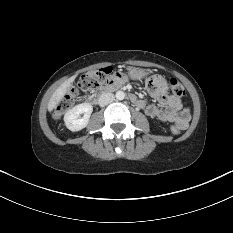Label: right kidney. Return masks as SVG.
Instances as JSON below:
<instances>
[{
	"instance_id": "ca27d5eb",
	"label": "right kidney",
	"mask_w": 233,
	"mask_h": 233,
	"mask_svg": "<svg viewBox=\"0 0 233 233\" xmlns=\"http://www.w3.org/2000/svg\"><path fill=\"white\" fill-rule=\"evenodd\" d=\"M92 111L93 107L89 103L76 105L64 115L66 127L73 132L82 130L88 125ZM81 114L83 117H80Z\"/></svg>"
}]
</instances>
